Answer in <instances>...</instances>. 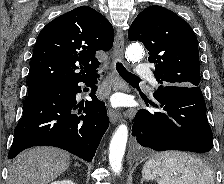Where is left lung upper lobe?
Returning a JSON list of instances; mask_svg holds the SVG:
<instances>
[{"instance_id": "1", "label": "left lung upper lobe", "mask_w": 224, "mask_h": 184, "mask_svg": "<svg viewBox=\"0 0 224 184\" xmlns=\"http://www.w3.org/2000/svg\"><path fill=\"white\" fill-rule=\"evenodd\" d=\"M131 41H140L155 64L154 75L163 85L199 87L198 42L190 25L174 12L161 7L144 9L128 31Z\"/></svg>"}]
</instances>
